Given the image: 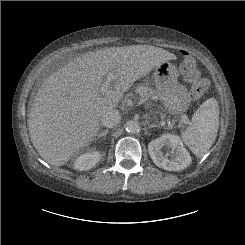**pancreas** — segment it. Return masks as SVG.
<instances>
[{"label":"pancreas","mask_w":245,"mask_h":245,"mask_svg":"<svg viewBox=\"0 0 245 245\" xmlns=\"http://www.w3.org/2000/svg\"><path fill=\"white\" fill-rule=\"evenodd\" d=\"M136 93H138L143 99L148 100L155 94V91L146 85L140 84L136 87Z\"/></svg>","instance_id":"obj_1"}]
</instances>
